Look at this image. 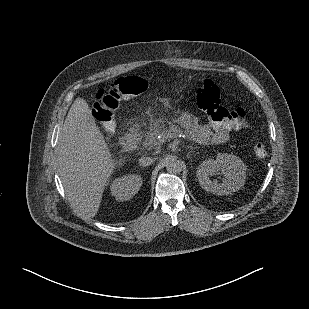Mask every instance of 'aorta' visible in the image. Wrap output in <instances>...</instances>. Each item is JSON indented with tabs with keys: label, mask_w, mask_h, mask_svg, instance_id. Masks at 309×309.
Listing matches in <instances>:
<instances>
[{
	"label": "aorta",
	"mask_w": 309,
	"mask_h": 309,
	"mask_svg": "<svg viewBox=\"0 0 309 309\" xmlns=\"http://www.w3.org/2000/svg\"><path fill=\"white\" fill-rule=\"evenodd\" d=\"M166 170L171 174H179L183 169V162L174 156L165 161Z\"/></svg>",
	"instance_id": "obj_1"
}]
</instances>
